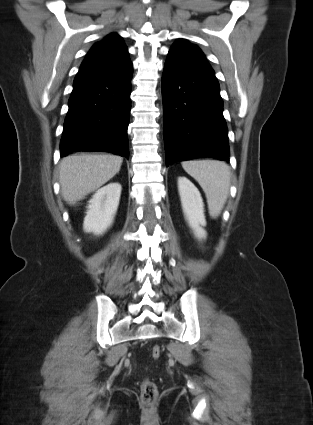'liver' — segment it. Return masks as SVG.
<instances>
[{
    "mask_svg": "<svg viewBox=\"0 0 313 425\" xmlns=\"http://www.w3.org/2000/svg\"><path fill=\"white\" fill-rule=\"evenodd\" d=\"M123 158L110 154H80L62 159L59 182L64 200L74 205L94 192L121 168Z\"/></svg>",
    "mask_w": 313,
    "mask_h": 425,
    "instance_id": "1",
    "label": "liver"
}]
</instances>
